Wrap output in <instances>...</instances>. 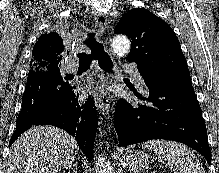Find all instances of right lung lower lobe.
I'll return each instance as SVG.
<instances>
[{"instance_id": "right-lung-lower-lobe-1", "label": "right lung lower lobe", "mask_w": 219, "mask_h": 173, "mask_svg": "<svg viewBox=\"0 0 219 173\" xmlns=\"http://www.w3.org/2000/svg\"><path fill=\"white\" fill-rule=\"evenodd\" d=\"M97 121L91 96L81 103L76 87L60 74L52 71L30 72L9 146L33 125H54L75 137L85 156L92 160Z\"/></svg>"}]
</instances>
